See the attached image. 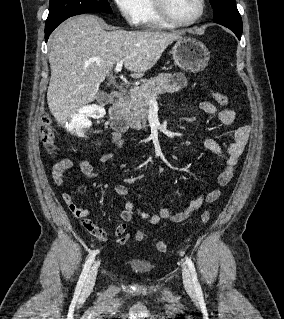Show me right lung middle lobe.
<instances>
[{
  "label": "right lung middle lobe",
  "instance_id": "1",
  "mask_svg": "<svg viewBox=\"0 0 284 319\" xmlns=\"http://www.w3.org/2000/svg\"><path fill=\"white\" fill-rule=\"evenodd\" d=\"M94 11L112 13L108 0H50L45 28L71 16Z\"/></svg>",
  "mask_w": 284,
  "mask_h": 319
}]
</instances>
